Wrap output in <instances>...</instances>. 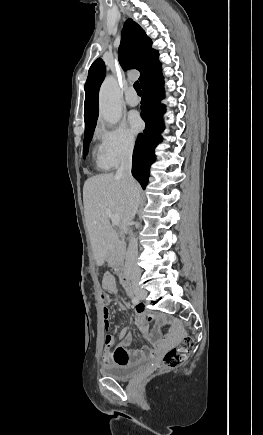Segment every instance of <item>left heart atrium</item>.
<instances>
[{"label": "left heart atrium", "instance_id": "left-heart-atrium-1", "mask_svg": "<svg viewBox=\"0 0 263 435\" xmlns=\"http://www.w3.org/2000/svg\"><path fill=\"white\" fill-rule=\"evenodd\" d=\"M128 122L133 133H138L143 129V121L140 115L133 112L128 117Z\"/></svg>", "mask_w": 263, "mask_h": 435}]
</instances>
